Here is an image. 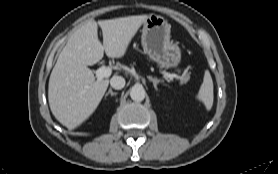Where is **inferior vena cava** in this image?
Wrapping results in <instances>:
<instances>
[{"label":"inferior vena cava","instance_id":"1","mask_svg":"<svg viewBox=\"0 0 278 174\" xmlns=\"http://www.w3.org/2000/svg\"><path fill=\"white\" fill-rule=\"evenodd\" d=\"M110 85L114 89L120 90L125 86V79L121 76H113L110 80Z\"/></svg>","mask_w":278,"mask_h":174}]
</instances>
